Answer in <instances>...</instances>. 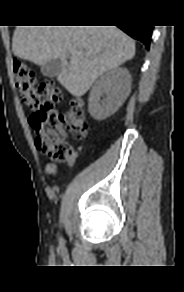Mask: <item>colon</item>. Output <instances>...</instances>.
Here are the masks:
<instances>
[{
  "label": "colon",
  "instance_id": "obj_1",
  "mask_svg": "<svg viewBox=\"0 0 184 292\" xmlns=\"http://www.w3.org/2000/svg\"><path fill=\"white\" fill-rule=\"evenodd\" d=\"M15 86L24 103L34 112L30 125L35 132L38 149L46 155L47 173L54 175L57 165L67 162L73 155L72 146L65 139L66 132L76 139H83L88 132V122L81 99L73 98L64 113L54 105L62 97L61 90L51 81L37 84L33 70L19 60L13 62Z\"/></svg>",
  "mask_w": 184,
  "mask_h": 292
}]
</instances>
